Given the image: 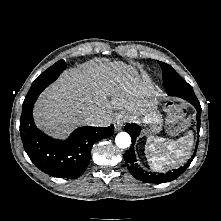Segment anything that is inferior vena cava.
Returning <instances> with one entry per match:
<instances>
[{
	"mask_svg": "<svg viewBox=\"0 0 221 221\" xmlns=\"http://www.w3.org/2000/svg\"><path fill=\"white\" fill-rule=\"evenodd\" d=\"M98 119V115L96 114H91L90 116H88V118L86 119L88 122H95Z\"/></svg>",
	"mask_w": 221,
	"mask_h": 221,
	"instance_id": "1",
	"label": "inferior vena cava"
}]
</instances>
